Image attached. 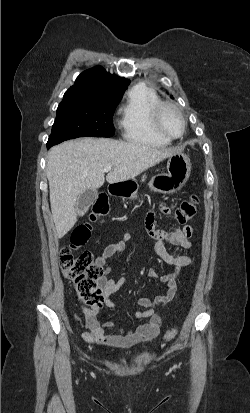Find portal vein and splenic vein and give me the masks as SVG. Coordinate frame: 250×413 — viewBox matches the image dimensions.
<instances>
[{
    "label": "portal vein and splenic vein",
    "instance_id": "obj_1",
    "mask_svg": "<svg viewBox=\"0 0 250 413\" xmlns=\"http://www.w3.org/2000/svg\"><path fill=\"white\" fill-rule=\"evenodd\" d=\"M112 169V166L111 165H108V166H106L105 168H104V172H108V171H110Z\"/></svg>",
    "mask_w": 250,
    "mask_h": 413
}]
</instances>
